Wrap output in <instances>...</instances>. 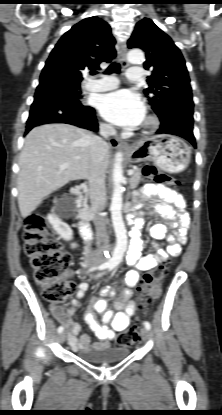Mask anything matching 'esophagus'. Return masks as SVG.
<instances>
[{"label":"esophagus","instance_id":"obj_1","mask_svg":"<svg viewBox=\"0 0 222 415\" xmlns=\"http://www.w3.org/2000/svg\"><path fill=\"white\" fill-rule=\"evenodd\" d=\"M119 54H120V58H121V62H122V66L123 68H126L128 66V62L126 59V54H127V47L125 43H121L119 45ZM110 144L117 148V147H123V148H127V145L125 143H123L118 137H111L110 138Z\"/></svg>","mask_w":222,"mask_h":415}]
</instances>
